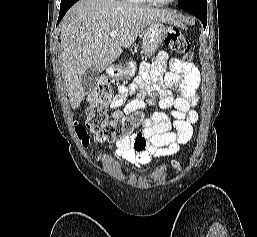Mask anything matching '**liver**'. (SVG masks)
Segmentation results:
<instances>
[{
	"label": "liver",
	"mask_w": 257,
	"mask_h": 237,
	"mask_svg": "<svg viewBox=\"0 0 257 237\" xmlns=\"http://www.w3.org/2000/svg\"><path fill=\"white\" fill-rule=\"evenodd\" d=\"M153 21L179 22L170 11L116 0H80L69 9L60 25V40L72 109L78 108L84 98L83 73L90 67L104 71ZM113 30L118 32L115 38L110 37Z\"/></svg>",
	"instance_id": "1"
}]
</instances>
